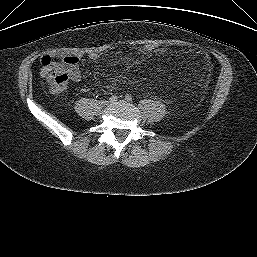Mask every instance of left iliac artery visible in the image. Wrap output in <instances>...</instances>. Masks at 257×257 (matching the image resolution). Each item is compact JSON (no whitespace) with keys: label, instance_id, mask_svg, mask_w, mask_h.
<instances>
[{"label":"left iliac artery","instance_id":"obj_1","mask_svg":"<svg viewBox=\"0 0 257 257\" xmlns=\"http://www.w3.org/2000/svg\"><path fill=\"white\" fill-rule=\"evenodd\" d=\"M125 99H126L127 101L131 102V101H132V96L129 95V94H127V95L125 96Z\"/></svg>","mask_w":257,"mask_h":257}]
</instances>
